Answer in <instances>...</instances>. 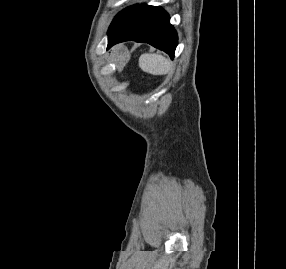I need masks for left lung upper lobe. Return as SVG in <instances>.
Segmentation results:
<instances>
[{
	"mask_svg": "<svg viewBox=\"0 0 286 269\" xmlns=\"http://www.w3.org/2000/svg\"><path fill=\"white\" fill-rule=\"evenodd\" d=\"M137 5L130 6L123 11H121L112 21L110 29L114 28L131 10H133Z\"/></svg>",
	"mask_w": 286,
	"mask_h": 269,
	"instance_id": "left-lung-upper-lobe-1",
	"label": "left lung upper lobe"
}]
</instances>
